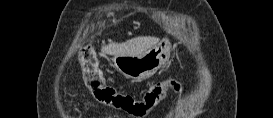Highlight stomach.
Returning a JSON list of instances; mask_svg holds the SVG:
<instances>
[{"label": "stomach", "mask_w": 273, "mask_h": 118, "mask_svg": "<svg viewBox=\"0 0 273 118\" xmlns=\"http://www.w3.org/2000/svg\"><path fill=\"white\" fill-rule=\"evenodd\" d=\"M172 47L168 39L137 56L117 55L112 59L117 70L127 78L142 80L166 66L171 59Z\"/></svg>", "instance_id": "obj_1"}]
</instances>
